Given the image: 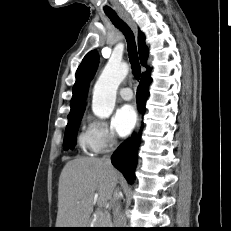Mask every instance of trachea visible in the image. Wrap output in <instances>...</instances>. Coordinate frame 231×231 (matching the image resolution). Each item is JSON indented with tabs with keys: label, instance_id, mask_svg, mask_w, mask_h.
Wrapping results in <instances>:
<instances>
[{
	"label": "trachea",
	"instance_id": "obj_1",
	"mask_svg": "<svg viewBox=\"0 0 231 231\" xmlns=\"http://www.w3.org/2000/svg\"><path fill=\"white\" fill-rule=\"evenodd\" d=\"M113 25L123 32L127 42L129 61L131 64L132 74L135 79L139 80L141 68L137 53L135 37L130 27L116 14V12H106Z\"/></svg>",
	"mask_w": 231,
	"mask_h": 231
}]
</instances>
